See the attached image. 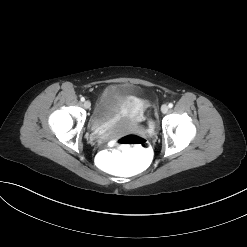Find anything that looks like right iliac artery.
I'll return each instance as SVG.
<instances>
[{"label": "right iliac artery", "mask_w": 247, "mask_h": 247, "mask_svg": "<svg viewBox=\"0 0 247 247\" xmlns=\"http://www.w3.org/2000/svg\"><path fill=\"white\" fill-rule=\"evenodd\" d=\"M80 100L83 102V101H85V98L84 97H81Z\"/></svg>", "instance_id": "right-iliac-artery-1"}]
</instances>
